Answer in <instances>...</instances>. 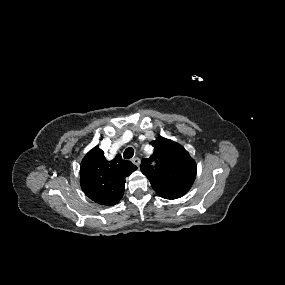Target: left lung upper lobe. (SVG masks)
<instances>
[{
	"label": "left lung upper lobe",
	"instance_id": "left-lung-upper-lobe-1",
	"mask_svg": "<svg viewBox=\"0 0 285 285\" xmlns=\"http://www.w3.org/2000/svg\"><path fill=\"white\" fill-rule=\"evenodd\" d=\"M151 144L154 152L151 158L141 162L142 173L150 180L155 192L186 193L196 177V164L188 152L178 143L158 137ZM155 161L153 167L151 163Z\"/></svg>",
	"mask_w": 285,
	"mask_h": 285
}]
</instances>
